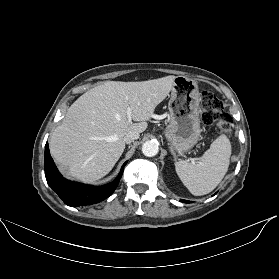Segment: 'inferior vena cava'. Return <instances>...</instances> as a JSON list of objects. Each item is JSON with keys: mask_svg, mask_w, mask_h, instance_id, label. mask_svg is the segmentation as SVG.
Wrapping results in <instances>:
<instances>
[{"mask_svg": "<svg viewBox=\"0 0 279 279\" xmlns=\"http://www.w3.org/2000/svg\"><path fill=\"white\" fill-rule=\"evenodd\" d=\"M139 138V133L135 132V131H130L126 134V136L124 137V141L129 144L131 143L133 140H136Z\"/></svg>", "mask_w": 279, "mask_h": 279, "instance_id": "obj_1", "label": "inferior vena cava"}]
</instances>
